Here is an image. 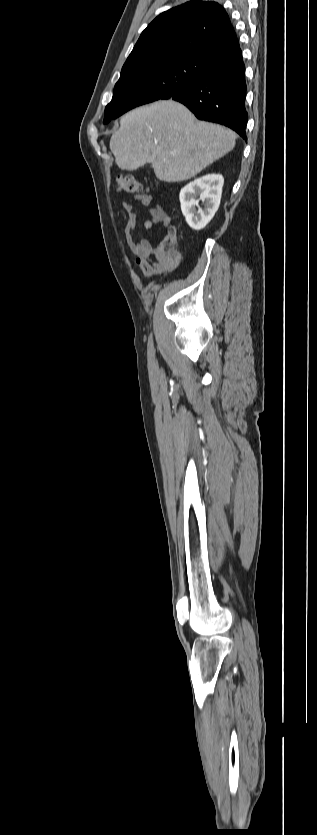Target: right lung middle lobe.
Listing matches in <instances>:
<instances>
[{
	"mask_svg": "<svg viewBox=\"0 0 317 835\" xmlns=\"http://www.w3.org/2000/svg\"><path fill=\"white\" fill-rule=\"evenodd\" d=\"M204 73L195 56L130 72L114 87L112 101L105 108L108 123L128 110L162 99L165 95L203 79Z\"/></svg>",
	"mask_w": 317,
	"mask_h": 835,
	"instance_id": "dd1d6c3e",
	"label": "right lung middle lobe"
}]
</instances>
